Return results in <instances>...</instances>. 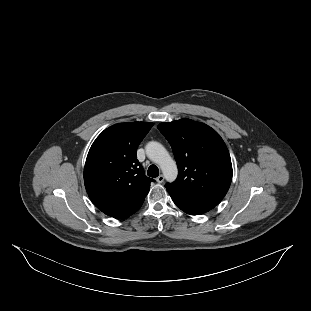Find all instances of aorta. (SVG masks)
Listing matches in <instances>:
<instances>
[{
  "label": "aorta",
  "instance_id": "aorta-1",
  "mask_svg": "<svg viewBox=\"0 0 311 311\" xmlns=\"http://www.w3.org/2000/svg\"><path fill=\"white\" fill-rule=\"evenodd\" d=\"M145 151L147 157L161 168L168 182H173L177 178L178 169L176 162L161 143L150 141L145 146Z\"/></svg>",
  "mask_w": 311,
  "mask_h": 311
}]
</instances>
